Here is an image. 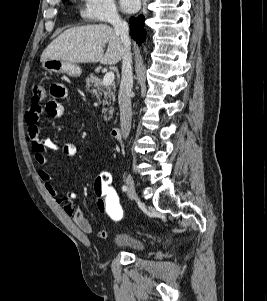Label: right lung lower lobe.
Listing matches in <instances>:
<instances>
[{
  "label": "right lung lower lobe",
  "mask_w": 267,
  "mask_h": 301,
  "mask_svg": "<svg viewBox=\"0 0 267 301\" xmlns=\"http://www.w3.org/2000/svg\"><path fill=\"white\" fill-rule=\"evenodd\" d=\"M130 28H131V37L135 40L139 45L140 42L144 41L146 37V31L144 30V16L140 15L139 17H131L129 19Z\"/></svg>",
  "instance_id": "right-lung-lower-lobe-1"
}]
</instances>
